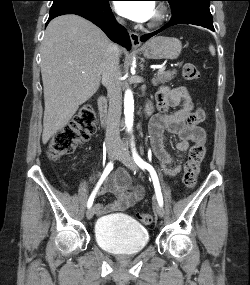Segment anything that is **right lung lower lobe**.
Segmentation results:
<instances>
[{
	"label": "right lung lower lobe",
	"mask_w": 250,
	"mask_h": 285,
	"mask_svg": "<svg viewBox=\"0 0 250 285\" xmlns=\"http://www.w3.org/2000/svg\"><path fill=\"white\" fill-rule=\"evenodd\" d=\"M64 14H76L82 16L95 25L100 27L105 34L114 42L121 44L126 47L128 50L131 49L130 37L126 29L115 21L111 9L109 7L108 1L101 7L97 9H72L57 15L49 16L46 25L55 17L64 15Z\"/></svg>",
	"instance_id": "1"
}]
</instances>
